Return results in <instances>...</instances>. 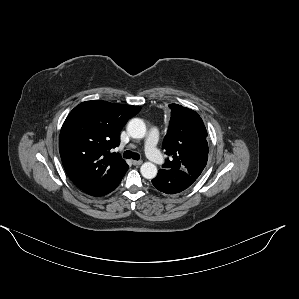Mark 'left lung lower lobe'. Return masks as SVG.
<instances>
[{"label":"left lung lower lobe","mask_w":299,"mask_h":299,"mask_svg":"<svg viewBox=\"0 0 299 299\" xmlns=\"http://www.w3.org/2000/svg\"><path fill=\"white\" fill-rule=\"evenodd\" d=\"M193 183V178L180 169L162 168L152 180V184L166 194L180 193Z\"/></svg>","instance_id":"0a47b994"}]
</instances>
